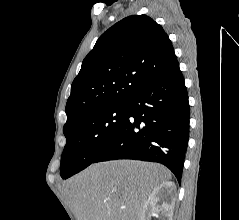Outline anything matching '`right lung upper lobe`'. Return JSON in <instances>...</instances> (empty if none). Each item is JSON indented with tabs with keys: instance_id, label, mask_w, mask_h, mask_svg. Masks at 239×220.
<instances>
[{
	"instance_id": "obj_1",
	"label": "right lung upper lobe",
	"mask_w": 239,
	"mask_h": 220,
	"mask_svg": "<svg viewBox=\"0 0 239 220\" xmlns=\"http://www.w3.org/2000/svg\"><path fill=\"white\" fill-rule=\"evenodd\" d=\"M176 60L163 28L146 15L119 21L97 40L71 86L64 128L101 108L126 103Z\"/></svg>"
}]
</instances>
